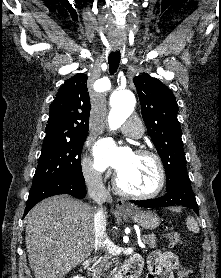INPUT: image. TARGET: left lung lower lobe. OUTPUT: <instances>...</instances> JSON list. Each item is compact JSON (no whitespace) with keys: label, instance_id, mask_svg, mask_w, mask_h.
<instances>
[{"label":"left lung lower lobe","instance_id":"obj_1","mask_svg":"<svg viewBox=\"0 0 221 278\" xmlns=\"http://www.w3.org/2000/svg\"><path fill=\"white\" fill-rule=\"evenodd\" d=\"M132 202L139 207L145 208L180 205L194 210L199 215L198 205L191 188L189 177L179 179L175 184L167 188V194L164 197Z\"/></svg>","mask_w":221,"mask_h":278}]
</instances>
